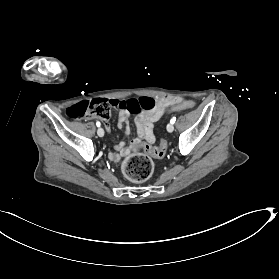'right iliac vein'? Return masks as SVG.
I'll return each mask as SVG.
<instances>
[{
	"mask_svg": "<svg viewBox=\"0 0 279 279\" xmlns=\"http://www.w3.org/2000/svg\"><path fill=\"white\" fill-rule=\"evenodd\" d=\"M97 134H98L99 137H103L104 136V130L102 128H98Z\"/></svg>",
	"mask_w": 279,
	"mask_h": 279,
	"instance_id": "63e3f726",
	"label": "right iliac vein"
}]
</instances>
